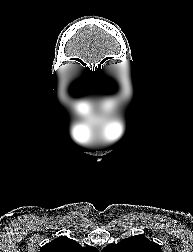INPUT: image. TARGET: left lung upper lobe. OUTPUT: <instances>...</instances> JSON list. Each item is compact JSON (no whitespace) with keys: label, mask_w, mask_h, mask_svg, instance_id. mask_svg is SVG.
I'll return each mask as SVG.
<instances>
[{"label":"left lung upper lobe","mask_w":193,"mask_h":252,"mask_svg":"<svg viewBox=\"0 0 193 252\" xmlns=\"http://www.w3.org/2000/svg\"><path fill=\"white\" fill-rule=\"evenodd\" d=\"M102 252H162L161 246L143 235L123 239L116 245H108Z\"/></svg>","instance_id":"1"}]
</instances>
